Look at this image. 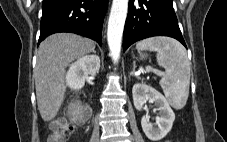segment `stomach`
Wrapping results in <instances>:
<instances>
[{"mask_svg": "<svg viewBox=\"0 0 227 142\" xmlns=\"http://www.w3.org/2000/svg\"><path fill=\"white\" fill-rule=\"evenodd\" d=\"M140 57H141V58H143V57H144V55H143V54H140Z\"/></svg>", "mask_w": 227, "mask_h": 142, "instance_id": "0dacf381", "label": "stomach"}]
</instances>
